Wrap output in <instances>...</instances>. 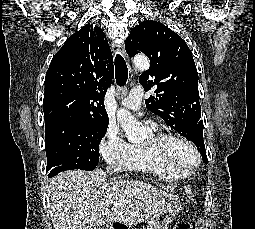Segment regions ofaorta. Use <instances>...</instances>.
Masks as SVG:
<instances>
[{
  "label": "aorta",
  "instance_id": "762f6f07",
  "mask_svg": "<svg viewBox=\"0 0 255 229\" xmlns=\"http://www.w3.org/2000/svg\"><path fill=\"white\" fill-rule=\"evenodd\" d=\"M133 65L136 70L144 71L149 68V61L145 56H137L133 59ZM117 121L120 123L130 142L135 143L142 140L144 134L143 127L129 111L119 109Z\"/></svg>",
  "mask_w": 255,
  "mask_h": 229
}]
</instances>
